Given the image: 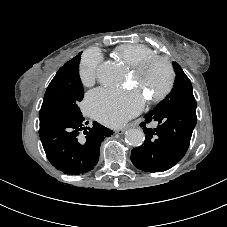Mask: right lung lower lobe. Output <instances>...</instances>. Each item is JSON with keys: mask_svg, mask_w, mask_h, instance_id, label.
<instances>
[{"mask_svg": "<svg viewBox=\"0 0 227 227\" xmlns=\"http://www.w3.org/2000/svg\"><path fill=\"white\" fill-rule=\"evenodd\" d=\"M83 120L56 119L39 130L49 162L64 174L79 175L92 170L99 159L101 142L113 134L95 121L92 128L84 127Z\"/></svg>", "mask_w": 227, "mask_h": 227, "instance_id": "98d812e1", "label": "right lung lower lobe"}]
</instances>
